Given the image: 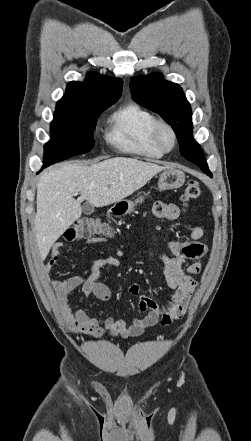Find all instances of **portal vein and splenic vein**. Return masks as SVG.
Returning a JSON list of instances; mask_svg holds the SVG:
<instances>
[{
    "instance_id": "18ae733b",
    "label": "portal vein and splenic vein",
    "mask_w": 251,
    "mask_h": 441,
    "mask_svg": "<svg viewBox=\"0 0 251 441\" xmlns=\"http://www.w3.org/2000/svg\"><path fill=\"white\" fill-rule=\"evenodd\" d=\"M104 189H107V187H104ZM73 195H74V196H77V195H78V192H74Z\"/></svg>"
}]
</instances>
